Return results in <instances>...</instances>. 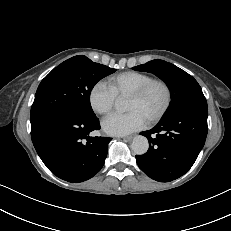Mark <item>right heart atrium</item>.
Wrapping results in <instances>:
<instances>
[{"label":"right heart atrium","mask_w":231,"mask_h":231,"mask_svg":"<svg viewBox=\"0 0 231 231\" xmlns=\"http://www.w3.org/2000/svg\"><path fill=\"white\" fill-rule=\"evenodd\" d=\"M92 110L100 115L108 114L116 101V95L103 81L95 83L88 96Z\"/></svg>","instance_id":"obj_1"}]
</instances>
